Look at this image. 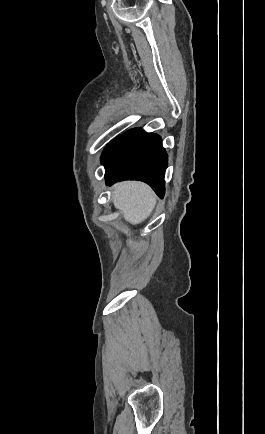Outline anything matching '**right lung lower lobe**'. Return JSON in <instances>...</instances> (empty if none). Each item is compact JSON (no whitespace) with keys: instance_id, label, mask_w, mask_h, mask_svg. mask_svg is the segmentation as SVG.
I'll return each mask as SVG.
<instances>
[{"instance_id":"1","label":"right lung lower lobe","mask_w":265,"mask_h":434,"mask_svg":"<svg viewBox=\"0 0 265 434\" xmlns=\"http://www.w3.org/2000/svg\"><path fill=\"white\" fill-rule=\"evenodd\" d=\"M101 158L107 185L122 180H141L163 197L167 154L158 135L141 129L127 131L107 146Z\"/></svg>"}]
</instances>
